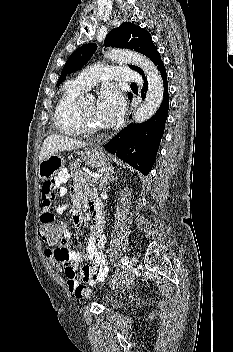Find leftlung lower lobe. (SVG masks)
<instances>
[{
  "mask_svg": "<svg viewBox=\"0 0 233 352\" xmlns=\"http://www.w3.org/2000/svg\"><path fill=\"white\" fill-rule=\"evenodd\" d=\"M157 69L164 86V97L158 111L146 122L128 125L104 146L105 150L144 175H148L155 162L169 108L167 73L162 60L157 65ZM143 78L145 83L141 96L145 98L148 83L145 76Z\"/></svg>",
  "mask_w": 233,
  "mask_h": 352,
  "instance_id": "0a47b994",
  "label": "left lung lower lobe"
}]
</instances>
